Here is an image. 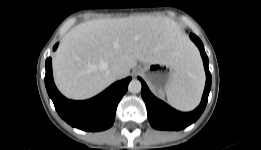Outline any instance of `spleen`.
Instances as JSON below:
<instances>
[{
    "instance_id": "obj_1",
    "label": "spleen",
    "mask_w": 261,
    "mask_h": 150,
    "mask_svg": "<svg viewBox=\"0 0 261 150\" xmlns=\"http://www.w3.org/2000/svg\"><path fill=\"white\" fill-rule=\"evenodd\" d=\"M204 72L197 51L192 54L187 66L177 72L172 83L166 89L168 102L181 111L195 109L201 99L204 88Z\"/></svg>"
}]
</instances>
